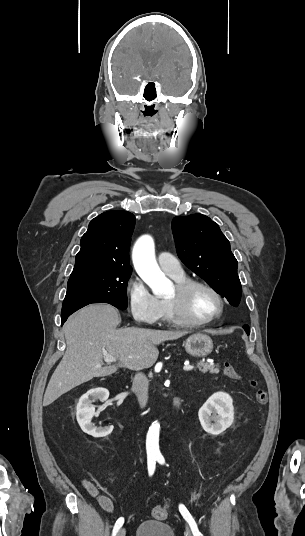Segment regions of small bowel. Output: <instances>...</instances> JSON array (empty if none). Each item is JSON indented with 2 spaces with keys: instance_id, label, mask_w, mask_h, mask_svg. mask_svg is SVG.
Listing matches in <instances>:
<instances>
[{
  "instance_id": "1",
  "label": "small bowel",
  "mask_w": 305,
  "mask_h": 536,
  "mask_svg": "<svg viewBox=\"0 0 305 536\" xmlns=\"http://www.w3.org/2000/svg\"><path fill=\"white\" fill-rule=\"evenodd\" d=\"M81 483L83 487L88 491V493L97 500L102 509L109 513L113 511L114 505L111 499L105 495L100 494L97 487L90 480L83 479Z\"/></svg>"
}]
</instances>
